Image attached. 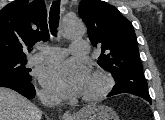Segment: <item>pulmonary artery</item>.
Instances as JSON below:
<instances>
[{
    "instance_id": "obj_1",
    "label": "pulmonary artery",
    "mask_w": 165,
    "mask_h": 120,
    "mask_svg": "<svg viewBox=\"0 0 165 120\" xmlns=\"http://www.w3.org/2000/svg\"><path fill=\"white\" fill-rule=\"evenodd\" d=\"M71 52L78 55H85L88 46L85 41H74L71 45ZM66 51L59 47L44 46L41 51L30 58L32 64L49 63L62 58Z\"/></svg>"
}]
</instances>
